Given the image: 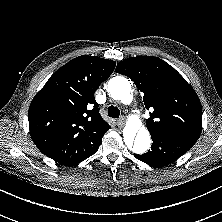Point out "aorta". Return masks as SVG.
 I'll use <instances>...</instances> for the list:
<instances>
[{"label": "aorta", "instance_id": "1", "mask_svg": "<svg viewBox=\"0 0 222 222\" xmlns=\"http://www.w3.org/2000/svg\"><path fill=\"white\" fill-rule=\"evenodd\" d=\"M109 95L123 104L132 102L131 84L125 77L116 76L108 82ZM124 141L129 149L137 154L145 153L151 144L148 130L135 121H129L124 132Z\"/></svg>", "mask_w": 222, "mask_h": 222}]
</instances>
